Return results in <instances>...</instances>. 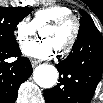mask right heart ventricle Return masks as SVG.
<instances>
[{
    "mask_svg": "<svg viewBox=\"0 0 103 103\" xmlns=\"http://www.w3.org/2000/svg\"><path fill=\"white\" fill-rule=\"evenodd\" d=\"M69 14H72V11L68 7L62 5H52L36 11L31 22L35 28L38 29L61 16Z\"/></svg>",
    "mask_w": 103,
    "mask_h": 103,
    "instance_id": "obj_1",
    "label": "right heart ventricle"
}]
</instances>
